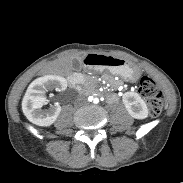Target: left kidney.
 I'll use <instances>...</instances> for the list:
<instances>
[{"instance_id":"5707ae66","label":"left kidney","mask_w":183,"mask_h":183,"mask_svg":"<svg viewBox=\"0 0 183 183\" xmlns=\"http://www.w3.org/2000/svg\"><path fill=\"white\" fill-rule=\"evenodd\" d=\"M125 108L130 116L135 119H145L149 110L145 101L136 92H126L122 97Z\"/></svg>"}]
</instances>
